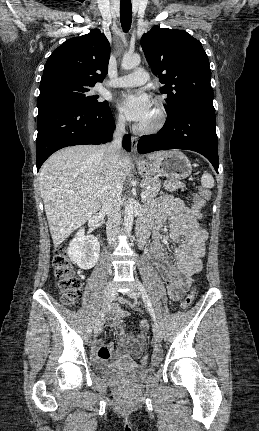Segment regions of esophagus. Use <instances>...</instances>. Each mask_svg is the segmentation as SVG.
Wrapping results in <instances>:
<instances>
[{
  "instance_id": "obj_1",
  "label": "esophagus",
  "mask_w": 259,
  "mask_h": 431,
  "mask_svg": "<svg viewBox=\"0 0 259 431\" xmlns=\"http://www.w3.org/2000/svg\"><path fill=\"white\" fill-rule=\"evenodd\" d=\"M137 143H138L137 138H136V137H134V136H132V137H131V144H132L131 153H132V156H133L134 158H138V154H137Z\"/></svg>"
}]
</instances>
